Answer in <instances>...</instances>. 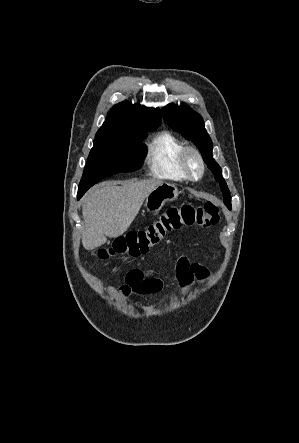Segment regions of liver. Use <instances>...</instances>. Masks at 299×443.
Masks as SVG:
<instances>
[{"mask_svg": "<svg viewBox=\"0 0 299 443\" xmlns=\"http://www.w3.org/2000/svg\"><path fill=\"white\" fill-rule=\"evenodd\" d=\"M105 181L95 185L82 198L84 231L82 244L93 250L106 243L107 237L123 235L160 180Z\"/></svg>", "mask_w": 299, "mask_h": 443, "instance_id": "1", "label": "liver"}]
</instances>
